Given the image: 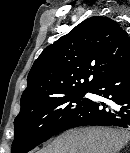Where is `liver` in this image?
<instances>
[{"label": "liver", "instance_id": "6515ba94", "mask_svg": "<svg viewBox=\"0 0 130 153\" xmlns=\"http://www.w3.org/2000/svg\"><path fill=\"white\" fill-rule=\"evenodd\" d=\"M130 132L108 127H79L65 131L38 153H118Z\"/></svg>", "mask_w": 130, "mask_h": 153}]
</instances>
